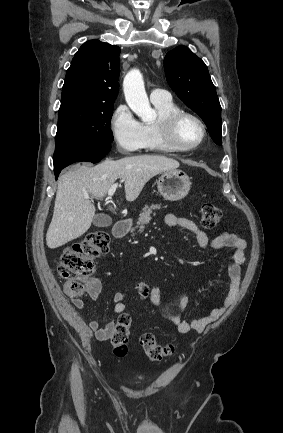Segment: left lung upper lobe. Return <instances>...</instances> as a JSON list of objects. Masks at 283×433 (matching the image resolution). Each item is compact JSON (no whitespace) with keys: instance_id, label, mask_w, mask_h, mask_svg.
Instances as JSON below:
<instances>
[{"instance_id":"5c2ea615","label":"left lung upper lobe","mask_w":283,"mask_h":433,"mask_svg":"<svg viewBox=\"0 0 283 433\" xmlns=\"http://www.w3.org/2000/svg\"><path fill=\"white\" fill-rule=\"evenodd\" d=\"M164 69L172 90L202 118L213 141L221 145V106L205 63L186 46H178L166 54Z\"/></svg>"}]
</instances>
